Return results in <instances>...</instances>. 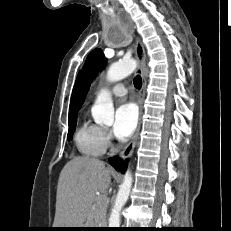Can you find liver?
<instances>
[{"label": "liver", "mask_w": 231, "mask_h": 231, "mask_svg": "<svg viewBox=\"0 0 231 231\" xmlns=\"http://www.w3.org/2000/svg\"><path fill=\"white\" fill-rule=\"evenodd\" d=\"M111 183V170L103 161L78 156L66 163L57 186L54 228H82L93 217L96 193L105 194Z\"/></svg>", "instance_id": "6515ba94"}]
</instances>
